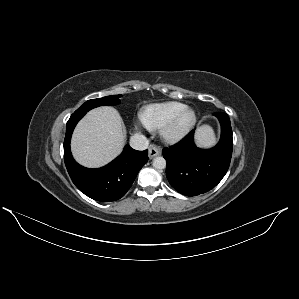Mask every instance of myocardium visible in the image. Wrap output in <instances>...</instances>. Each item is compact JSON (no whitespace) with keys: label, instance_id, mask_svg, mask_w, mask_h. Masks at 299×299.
Wrapping results in <instances>:
<instances>
[{"label":"myocardium","instance_id":"1","mask_svg":"<svg viewBox=\"0 0 299 299\" xmlns=\"http://www.w3.org/2000/svg\"><path fill=\"white\" fill-rule=\"evenodd\" d=\"M190 115V119L184 118ZM197 114L194 109L185 107L163 126V136L167 141L177 142L184 139L194 128Z\"/></svg>","mask_w":299,"mask_h":299}]
</instances>
